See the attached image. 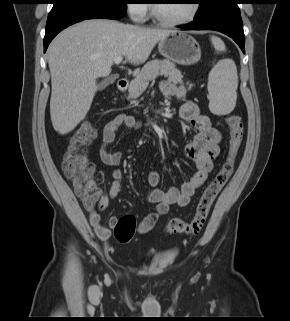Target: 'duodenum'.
<instances>
[{
    "mask_svg": "<svg viewBox=\"0 0 290 321\" xmlns=\"http://www.w3.org/2000/svg\"><path fill=\"white\" fill-rule=\"evenodd\" d=\"M128 80L125 78L119 79L116 83V89L119 92H125L127 90L128 87Z\"/></svg>",
    "mask_w": 290,
    "mask_h": 321,
    "instance_id": "1",
    "label": "duodenum"
}]
</instances>
